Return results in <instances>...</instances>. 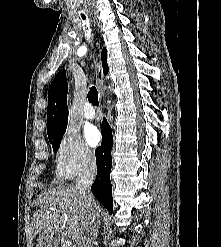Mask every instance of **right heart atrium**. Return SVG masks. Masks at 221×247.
Listing matches in <instances>:
<instances>
[{
    "mask_svg": "<svg viewBox=\"0 0 221 247\" xmlns=\"http://www.w3.org/2000/svg\"><path fill=\"white\" fill-rule=\"evenodd\" d=\"M94 155L79 133L69 127L58 144L55 156V174L60 180H69L89 169Z\"/></svg>",
    "mask_w": 221,
    "mask_h": 247,
    "instance_id": "1",
    "label": "right heart atrium"
}]
</instances>
